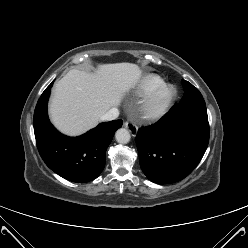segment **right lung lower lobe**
Returning <instances> with one entry per match:
<instances>
[{
    "mask_svg": "<svg viewBox=\"0 0 248 248\" xmlns=\"http://www.w3.org/2000/svg\"><path fill=\"white\" fill-rule=\"evenodd\" d=\"M53 82L45 89L35 108L33 125L39 153L46 165L73 182L97 178L105 166V153L122 120L99 124L79 137H67L50 123L47 102Z\"/></svg>",
    "mask_w": 248,
    "mask_h": 248,
    "instance_id": "98d812e1",
    "label": "right lung lower lobe"
}]
</instances>
